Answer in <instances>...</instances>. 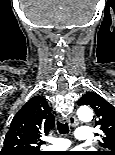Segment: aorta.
Instances as JSON below:
<instances>
[{
  "label": "aorta",
  "instance_id": "1",
  "mask_svg": "<svg viewBox=\"0 0 115 155\" xmlns=\"http://www.w3.org/2000/svg\"><path fill=\"white\" fill-rule=\"evenodd\" d=\"M79 120L89 122L93 118V110L89 106H82L77 110Z\"/></svg>",
  "mask_w": 115,
  "mask_h": 155
}]
</instances>
